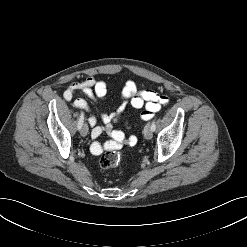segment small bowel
<instances>
[{
	"label": "small bowel",
	"mask_w": 247,
	"mask_h": 247,
	"mask_svg": "<svg viewBox=\"0 0 247 247\" xmlns=\"http://www.w3.org/2000/svg\"><path fill=\"white\" fill-rule=\"evenodd\" d=\"M78 91L83 92L92 100H105L108 95V86L104 80H99L95 76H89L81 82H73L67 86L63 93L64 99L68 102L72 101L74 107L90 112V107L84 99H74V95ZM168 102L169 98L166 95L149 89L139 91L133 80H127L122 89L121 102L117 109L113 112L101 114L102 125H98V118L95 114L89 116L88 123L92 128L91 136L97 139L103 133H108L115 141H120L123 139V134L120 131L114 130L113 125L122 118L128 107L143 109L141 118L143 120H150L160 110L161 106ZM132 140H135V138ZM112 142L109 141L104 144L94 142L92 150L98 154L102 149L110 148Z\"/></svg>",
	"instance_id": "1"
}]
</instances>
